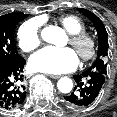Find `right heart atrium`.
<instances>
[{
	"label": "right heart atrium",
	"instance_id": "d8ad5b80",
	"mask_svg": "<svg viewBox=\"0 0 117 117\" xmlns=\"http://www.w3.org/2000/svg\"><path fill=\"white\" fill-rule=\"evenodd\" d=\"M18 43L25 52H31L41 44V19L33 18L25 21L18 30Z\"/></svg>",
	"mask_w": 117,
	"mask_h": 117
}]
</instances>
